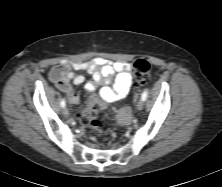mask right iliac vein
Wrapping results in <instances>:
<instances>
[{
	"label": "right iliac vein",
	"instance_id": "1",
	"mask_svg": "<svg viewBox=\"0 0 222 187\" xmlns=\"http://www.w3.org/2000/svg\"><path fill=\"white\" fill-rule=\"evenodd\" d=\"M62 113H63V115L67 116L69 114V111H68V109L66 107H64L62 109Z\"/></svg>",
	"mask_w": 222,
	"mask_h": 187
}]
</instances>
